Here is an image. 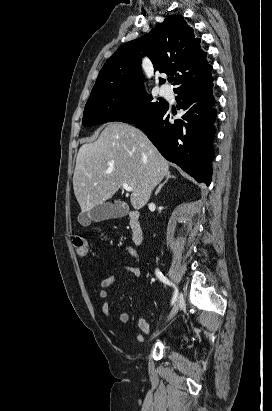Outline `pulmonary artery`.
I'll use <instances>...</instances> for the list:
<instances>
[{"instance_id": "e3ab8cb5", "label": "pulmonary artery", "mask_w": 272, "mask_h": 411, "mask_svg": "<svg viewBox=\"0 0 272 411\" xmlns=\"http://www.w3.org/2000/svg\"><path fill=\"white\" fill-rule=\"evenodd\" d=\"M161 94L165 97H168L171 95V89L168 86H162L161 87Z\"/></svg>"}]
</instances>
